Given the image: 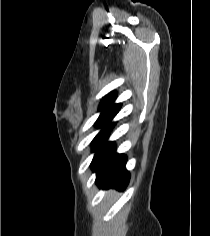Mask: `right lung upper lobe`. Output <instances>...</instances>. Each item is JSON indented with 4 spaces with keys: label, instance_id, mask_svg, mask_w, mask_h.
I'll return each mask as SVG.
<instances>
[{
    "label": "right lung upper lobe",
    "instance_id": "right-lung-upper-lobe-1",
    "mask_svg": "<svg viewBox=\"0 0 210 236\" xmlns=\"http://www.w3.org/2000/svg\"><path fill=\"white\" fill-rule=\"evenodd\" d=\"M116 98V93L112 92L109 95H107L102 101H112Z\"/></svg>",
    "mask_w": 210,
    "mask_h": 236
}]
</instances>
